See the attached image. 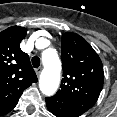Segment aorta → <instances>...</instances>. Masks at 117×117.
Returning a JSON list of instances; mask_svg holds the SVG:
<instances>
[{
  "label": "aorta",
  "mask_w": 117,
  "mask_h": 117,
  "mask_svg": "<svg viewBox=\"0 0 117 117\" xmlns=\"http://www.w3.org/2000/svg\"><path fill=\"white\" fill-rule=\"evenodd\" d=\"M43 42L47 40L43 39ZM44 69L39 80L40 91L46 96H52L60 84L61 62L55 49L48 48L42 52Z\"/></svg>",
  "instance_id": "1"
}]
</instances>
